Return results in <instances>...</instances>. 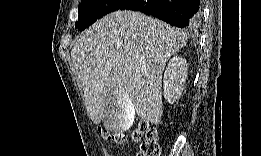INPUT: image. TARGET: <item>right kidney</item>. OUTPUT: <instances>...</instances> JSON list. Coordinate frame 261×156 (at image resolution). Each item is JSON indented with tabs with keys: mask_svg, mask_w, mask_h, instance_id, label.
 <instances>
[{
	"mask_svg": "<svg viewBox=\"0 0 261 156\" xmlns=\"http://www.w3.org/2000/svg\"><path fill=\"white\" fill-rule=\"evenodd\" d=\"M187 62L182 57L174 56L166 67L163 79L164 98L169 103L176 101L183 89L187 78Z\"/></svg>",
	"mask_w": 261,
	"mask_h": 156,
	"instance_id": "1",
	"label": "right kidney"
}]
</instances>
